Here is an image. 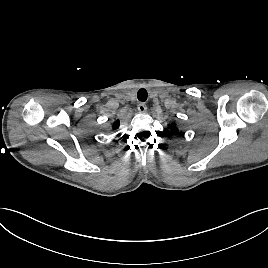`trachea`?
Here are the masks:
<instances>
[{
	"label": "trachea",
	"mask_w": 268,
	"mask_h": 268,
	"mask_svg": "<svg viewBox=\"0 0 268 268\" xmlns=\"http://www.w3.org/2000/svg\"><path fill=\"white\" fill-rule=\"evenodd\" d=\"M137 97H138V100L141 101V102L146 101L147 97H148L146 89L141 88L137 93Z\"/></svg>",
	"instance_id": "trachea-1"
}]
</instances>
